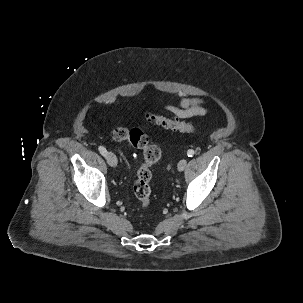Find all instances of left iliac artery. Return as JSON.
I'll use <instances>...</instances> for the list:
<instances>
[{"label": "left iliac artery", "mask_w": 303, "mask_h": 303, "mask_svg": "<svg viewBox=\"0 0 303 303\" xmlns=\"http://www.w3.org/2000/svg\"><path fill=\"white\" fill-rule=\"evenodd\" d=\"M194 153H195L194 150L190 149L187 151V156L192 157L194 155Z\"/></svg>", "instance_id": "obj_1"}]
</instances>
